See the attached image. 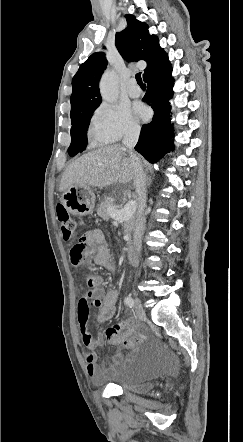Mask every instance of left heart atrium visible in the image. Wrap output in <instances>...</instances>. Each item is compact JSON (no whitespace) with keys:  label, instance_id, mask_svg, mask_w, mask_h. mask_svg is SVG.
Masks as SVG:
<instances>
[{"label":"left heart atrium","instance_id":"1","mask_svg":"<svg viewBox=\"0 0 243 442\" xmlns=\"http://www.w3.org/2000/svg\"><path fill=\"white\" fill-rule=\"evenodd\" d=\"M136 115L141 118L144 119L147 117L148 115V111L146 109V107L142 104H137L134 108Z\"/></svg>","mask_w":243,"mask_h":442}]
</instances>
